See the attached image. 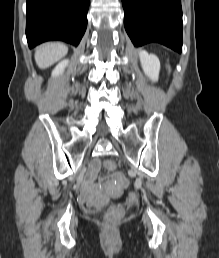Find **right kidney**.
I'll return each instance as SVG.
<instances>
[{
  "mask_svg": "<svg viewBox=\"0 0 219 258\" xmlns=\"http://www.w3.org/2000/svg\"><path fill=\"white\" fill-rule=\"evenodd\" d=\"M67 65H68V60L66 59L59 62L58 65L52 71V76L57 77L60 74H62Z\"/></svg>",
  "mask_w": 219,
  "mask_h": 258,
  "instance_id": "obj_1",
  "label": "right kidney"
}]
</instances>
